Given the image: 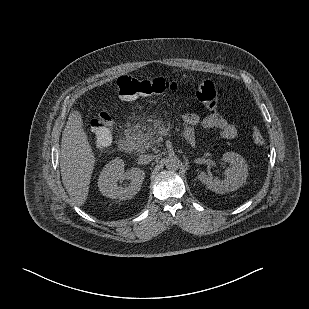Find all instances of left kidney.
Wrapping results in <instances>:
<instances>
[{"label":"left kidney","mask_w":309,"mask_h":309,"mask_svg":"<svg viewBox=\"0 0 309 309\" xmlns=\"http://www.w3.org/2000/svg\"><path fill=\"white\" fill-rule=\"evenodd\" d=\"M222 161L229 163L231 167L225 171V178L220 180L218 178L208 177L205 172H200L199 180L206 185V187L218 194L235 191L246 182L248 177V165L244 158L235 152H226L223 154Z\"/></svg>","instance_id":"obj_1"}]
</instances>
